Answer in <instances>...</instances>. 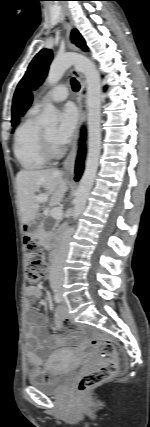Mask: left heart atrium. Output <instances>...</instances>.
Masks as SVG:
<instances>
[{
    "instance_id": "39dd6f15",
    "label": "left heart atrium",
    "mask_w": 150,
    "mask_h": 427,
    "mask_svg": "<svg viewBox=\"0 0 150 427\" xmlns=\"http://www.w3.org/2000/svg\"><path fill=\"white\" fill-rule=\"evenodd\" d=\"M78 127V114L72 105H67L61 112L60 123L54 135L58 146L68 144L74 137Z\"/></svg>"
}]
</instances>
